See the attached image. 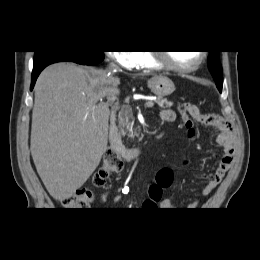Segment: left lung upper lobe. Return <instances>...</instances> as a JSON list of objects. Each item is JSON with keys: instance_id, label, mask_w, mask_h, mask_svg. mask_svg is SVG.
Returning a JSON list of instances; mask_svg holds the SVG:
<instances>
[{"instance_id": "obj_1", "label": "left lung upper lobe", "mask_w": 260, "mask_h": 260, "mask_svg": "<svg viewBox=\"0 0 260 260\" xmlns=\"http://www.w3.org/2000/svg\"><path fill=\"white\" fill-rule=\"evenodd\" d=\"M207 63L209 70L216 82L217 88H222L223 72L219 61V51H209V58Z\"/></svg>"}]
</instances>
